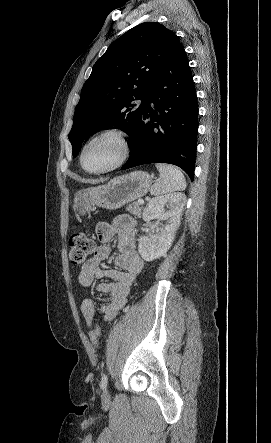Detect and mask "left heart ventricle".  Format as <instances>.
<instances>
[{
    "label": "left heart ventricle",
    "mask_w": 271,
    "mask_h": 443,
    "mask_svg": "<svg viewBox=\"0 0 271 443\" xmlns=\"http://www.w3.org/2000/svg\"><path fill=\"white\" fill-rule=\"evenodd\" d=\"M121 154V144L115 135H105L90 142L83 153L88 170H101L115 163Z\"/></svg>",
    "instance_id": "obj_1"
}]
</instances>
